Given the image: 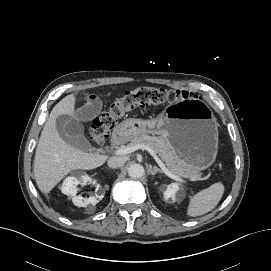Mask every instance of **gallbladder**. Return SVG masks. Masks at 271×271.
I'll list each match as a JSON object with an SVG mask.
<instances>
[{"mask_svg": "<svg viewBox=\"0 0 271 271\" xmlns=\"http://www.w3.org/2000/svg\"><path fill=\"white\" fill-rule=\"evenodd\" d=\"M57 130L62 139L71 146L82 150L92 151L93 147L84 136V126L76 119L59 116L56 120Z\"/></svg>", "mask_w": 271, "mask_h": 271, "instance_id": "bac80fb5", "label": "gallbladder"}]
</instances>
